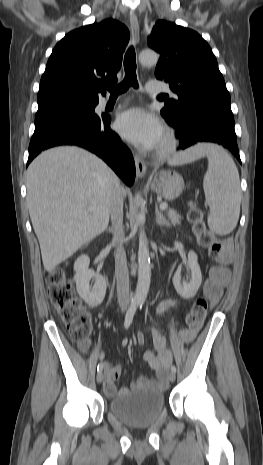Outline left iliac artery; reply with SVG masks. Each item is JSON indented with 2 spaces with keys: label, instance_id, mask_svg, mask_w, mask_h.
<instances>
[{
  "label": "left iliac artery",
  "instance_id": "44dca946",
  "mask_svg": "<svg viewBox=\"0 0 263 465\" xmlns=\"http://www.w3.org/2000/svg\"><path fill=\"white\" fill-rule=\"evenodd\" d=\"M142 304L143 303L140 304V307H142ZM171 371L176 373V367L174 365L171 366Z\"/></svg>",
  "mask_w": 263,
  "mask_h": 465
}]
</instances>
